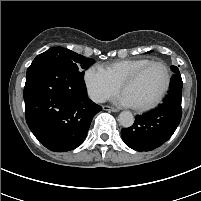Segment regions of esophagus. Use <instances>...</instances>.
<instances>
[{"label": "esophagus", "instance_id": "34e87169", "mask_svg": "<svg viewBox=\"0 0 201 201\" xmlns=\"http://www.w3.org/2000/svg\"><path fill=\"white\" fill-rule=\"evenodd\" d=\"M103 109L105 111H109V112H118L119 111L117 108H114V107H111V106H107V105L103 106Z\"/></svg>", "mask_w": 201, "mask_h": 201}]
</instances>
